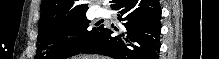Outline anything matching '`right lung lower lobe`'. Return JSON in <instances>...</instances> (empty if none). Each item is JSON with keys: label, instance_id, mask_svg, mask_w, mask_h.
<instances>
[{"label": "right lung lower lobe", "instance_id": "98d812e1", "mask_svg": "<svg viewBox=\"0 0 219 59\" xmlns=\"http://www.w3.org/2000/svg\"><path fill=\"white\" fill-rule=\"evenodd\" d=\"M111 3V8L118 11L123 29L116 35L112 29L104 28L81 52L114 59H158L161 30L159 0H113Z\"/></svg>", "mask_w": 219, "mask_h": 59}]
</instances>
